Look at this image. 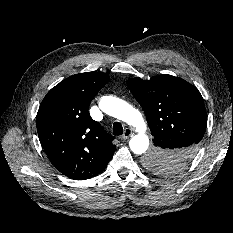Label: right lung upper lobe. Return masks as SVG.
<instances>
[{"instance_id": "1", "label": "right lung upper lobe", "mask_w": 233, "mask_h": 233, "mask_svg": "<svg viewBox=\"0 0 233 233\" xmlns=\"http://www.w3.org/2000/svg\"><path fill=\"white\" fill-rule=\"evenodd\" d=\"M108 81L106 73L70 76L40 104L36 118L40 143L55 168L72 179L96 176L115 152L114 137L88 113L91 100Z\"/></svg>"}]
</instances>
